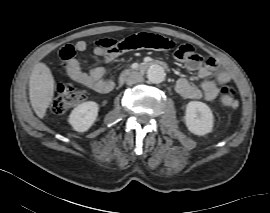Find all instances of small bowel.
I'll list each match as a JSON object with an SVG mask.
<instances>
[{
  "label": "small bowel",
  "mask_w": 270,
  "mask_h": 213,
  "mask_svg": "<svg viewBox=\"0 0 270 213\" xmlns=\"http://www.w3.org/2000/svg\"><path fill=\"white\" fill-rule=\"evenodd\" d=\"M93 46V53L96 57L104 62H109L124 52L120 41L113 38L100 37L90 43ZM88 48V43L78 41L75 45H65L60 51V58L67 62L66 72L68 76L77 83L86 86L99 94L110 92L114 88V81L106 78V71L103 66H95L88 72L81 69V63L76 54L83 53ZM193 49L190 47L185 54L184 62L189 71L195 72L201 80L199 86L193 85L185 78H179L176 82V91L184 98L198 99L204 97L207 100L215 99L219 92L220 86H224L231 82V74L221 68L217 61L213 58L207 63H195L191 60ZM215 78L212 79V76Z\"/></svg>",
  "instance_id": "c3829d8e"
}]
</instances>
